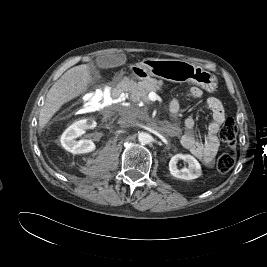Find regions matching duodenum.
Here are the masks:
<instances>
[{"mask_svg": "<svg viewBox=\"0 0 267 267\" xmlns=\"http://www.w3.org/2000/svg\"><path fill=\"white\" fill-rule=\"evenodd\" d=\"M138 74H140V73L139 72L134 73L133 76L126 77L124 80H122L119 83V85L117 87V93H118V96L122 98V100L125 99V95L127 94L128 90L130 88V85L132 83V80H133L134 76H136ZM171 113H173V112L171 111Z\"/></svg>", "mask_w": 267, "mask_h": 267, "instance_id": "obj_1", "label": "duodenum"}]
</instances>
